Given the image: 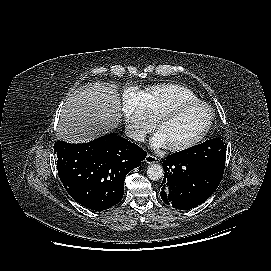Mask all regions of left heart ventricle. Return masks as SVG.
I'll use <instances>...</instances> for the list:
<instances>
[{
    "label": "left heart ventricle",
    "mask_w": 271,
    "mask_h": 271,
    "mask_svg": "<svg viewBox=\"0 0 271 271\" xmlns=\"http://www.w3.org/2000/svg\"><path fill=\"white\" fill-rule=\"evenodd\" d=\"M208 119V109L195 106L163 120L158 131L163 135L167 146L180 145L194 138L205 127Z\"/></svg>",
    "instance_id": "b2bd125f"
}]
</instances>
